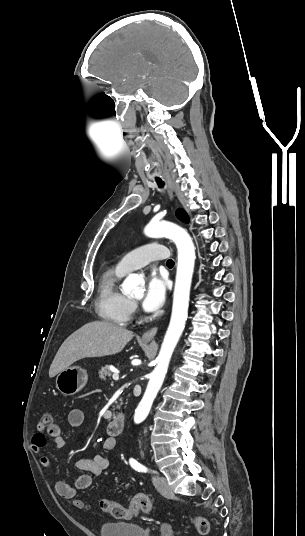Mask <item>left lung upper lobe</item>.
I'll list each match as a JSON object with an SVG mask.
<instances>
[{
	"instance_id": "obj_1",
	"label": "left lung upper lobe",
	"mask_w": 305,
	"mask_h": 536,
	"mask_svg": "<svg viewBox=\"0 0 305 536\" xmlns=\"http://www.w3.org/2000/svg\"><path fill=\"white\" fill-rule=\"evenodd\" d=\"M176 216L183 222H188L189 221V218H188V215L186 214V212L182 209H178L176 211Z\"/></svg>"
}]
</instances>
